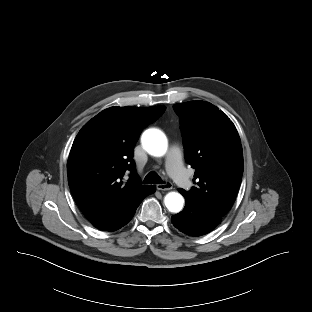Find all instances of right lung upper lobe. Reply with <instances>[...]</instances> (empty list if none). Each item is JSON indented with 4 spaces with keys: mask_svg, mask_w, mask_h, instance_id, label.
I'll return each instance as SVG.
<instances>
[{
    "mask_svg": "<svg viewBox=\"0 0 312 312\" xmlns=\"http://www.w3.org/2000/svg\"><path fill=\"white\" fill-rule=\"evenodd\" d=\"M165 109L110 107L79 131L68 158V182L76 204L94 227L111 230L140 199L147 185L136 173L133 147L142 129Z\"/></svg>",
    "mask_w": 312,
    "mask_h": 312,
    "instance_id": "obj_1",
    "label": "right lung upper lobe"
}]
</instances>
